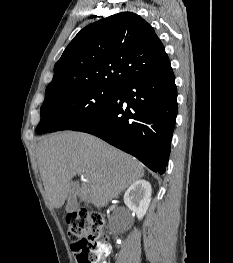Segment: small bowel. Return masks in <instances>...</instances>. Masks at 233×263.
Listing matches in <instances>:
<instances>
[{"label": "small bowel", "mask_w": 233, "mask_h": 263, "mask_svg": "<svg viewBox=\"0 0 233 263\" xmlns=\"http://www.w3.org/2000/svg\"><path fill=\"white\" fill-rule=\"evenodd\" d=\"M111 253V246L107 244L104 247V257H107ZM102 263H107L106 261H103Z\"/></svg>", "instance_id": "obj_1"}]
</instances>
